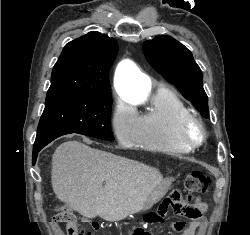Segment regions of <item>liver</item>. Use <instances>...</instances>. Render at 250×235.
I'll return each mask as SVG.
<instances>
[{"label":"liver","mask_w":250,"mask_h":235,"mask_svg":"<svg viewBox=\"0 0 250 235\" xmlns=\"http://www.w3.org/2000/svg\"><path fill=\"white\" fill-rule=\"evenodd\" d=\"M162 181L156 168L77 141L62 143L52 156L56 197L90 219L114 222L138 213Z\"/></svg>","instance_id":"liver-1"}]
</instances>
